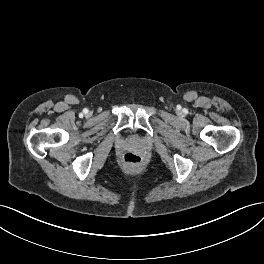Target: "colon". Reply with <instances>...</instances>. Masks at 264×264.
Masks as SVG:
<instances>
[{
	"mask_svg": "<svg viewBox=\"0 0 264 264\" xmlns=\"http://www.w3.org/2000/svg\"><path fill=\"white\" fill-rule=\"evenodd\" d=\"M123 163L129 168H138L142 164V158L135 153H126L123 156Z\"/></svg>",
	"mask_w": 264,
	"mask_h": 264,
	"instance_id": "obj_1",
	"label": "colon"
}]
</instances>
